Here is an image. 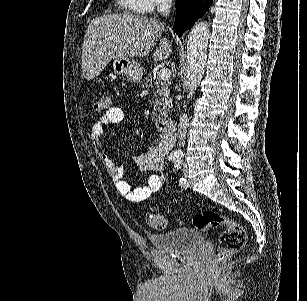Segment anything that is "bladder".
<instances>
[{"label":"bladder","instance_id":"1","mask_svg":"<svg viewBox=\"0 0 307 301\" xmlns=\"http://www.w3.org/2000/svg\"><path fill=\"white\" fill-rule=\"evenodd\" d=\"M156 250L170 253H182L194 250L203 242L199 231L190 228H177L170 233L151 236Z\"/></svg>","mask_w":307,"mask_h":301}]
</instances>
